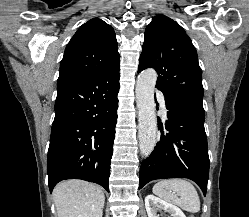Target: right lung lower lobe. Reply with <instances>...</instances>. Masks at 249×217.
I'll return each mask as SVG.
<instances>
[{"label": "right lung lower lobe", "instance_id": "obj_1", "mask_svg": "<svg viewBox=\"0 0 249 217\" xmlns=\"http://www.w3.org/2000/svg\"><path fill=\"white\" fill-rule=\"evenodd\" d=\"M119 70L58 79L48 149L50 192L58 182L72 178L97 183L109 192Z\"/></svg>", "mask_w": 249, "mask_h": 217}]
</instances>
